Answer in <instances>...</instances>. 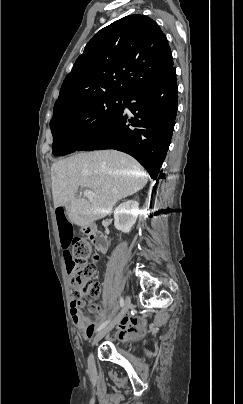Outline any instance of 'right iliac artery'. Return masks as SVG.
I'll list each match as a JSON object with an SVG mask.
<instances>
[{"mask_svg": "<svg viewBox=\"0 0 243 404\" xmlns=\"http://www.w3.org/2000/svg\"><path fill=\"white\" fill-rule=\"evenodd\" d=\"M124 305V299L121 297L120 298V307H123ZM111 320H108L106 322H104L98 329L97 331H100L101 329H103Z\"/></svg>", "mask_w": 243, "mask_h": 404, "instance_id": "right-iliac-artery-1", "label": "right iliac artery"}]
</instances>
